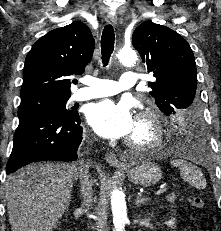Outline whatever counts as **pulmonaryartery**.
Returning <instances> with one entry per match:
<instances>
[{
    "label": "pulmonary artery",
    "mask_w": 221,
    "mask_h": 231,
    "mask_svg": "<svg viewBox=\"0 0 221 231\" xmlns=\"http://www.w3.org/2000/svg\"><path fill=\"white\" fill-rule=\"evenodd\" d=\"M83 83L86 87L80 88L74 93L73 99L75 101L111 96L122 90L133 88L137 84V75L130 71L124 72L119 82L96 77H85Z\"/></svg>",
    "instance_id": "e3ab8cb5"
}]
</instances>
